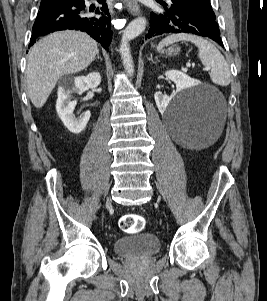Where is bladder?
I'll return each instance as SVG.
<instances>
[{
  "label": "bladder",
  "mask_w": 267,
  "mask_h": 301,
  "mask_svg": "<svg viewBox=\"0 0 267 301\" xmlns=\"http://www.w3.org/2000/svg\"><path fill=\"white\" fill-rule=\"evenodd\" d=\"M160 249V239L151 233L120 237L113 242V251L121 256L150 257L157 254Z\"/></svg>",
  "instance_id": "obj_1"
}]
</instances>
